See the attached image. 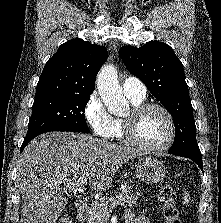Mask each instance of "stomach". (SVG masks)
<instances>
[{
    "label": "stomach",
    "instance_id": "obj_1",
    "mask_svg": "<svg viewBox=\"0 0 221 223\" xmlns=\"http://www.w3.org/2000/svg\"><path fill=\"white\" fill-rule=\"evenodd\" d=\"M135 173L141 181L155 184L163 180L166 168L157 158L149 156L140 158L135 163Z\"/></svg>",
    "mask_w": 221,
    "mask_h": 223
}]
</instances>
